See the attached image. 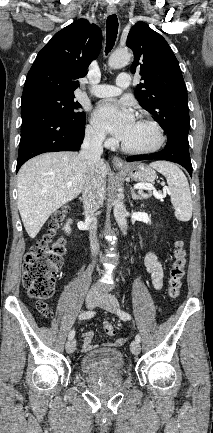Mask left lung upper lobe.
I'll return each instance as SVG.
<instances>
[{
    "label": "left lung upper lobe",
    "instance_id": "left-lung-upper-lobe-1",
    "mask_svg": "<svg viewBox=\"0 0 213 433\" xmlns=\"http://www.w3.org/2000/svg\"><path fill=\"white\" fill-rule=\"evenodd\" d=\"M127 46L133 50V73H140L143 83L135 96L142 108L167 133V138L188 141L189 111L187 90L182 72L166 40L146 23L138 22L130 30Z\"/></svg>",
    "mask_w": 213,
    "mask_h": 433
}]
</instances>
